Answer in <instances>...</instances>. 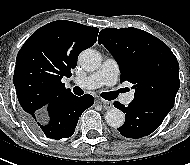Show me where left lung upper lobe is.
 I'll return each mask as SVG.
<instances>
[{"instance_id": "1", "label": "left lung upper lobe", "mask_w": 190, "mask_h": 165, "mask_svg": "<svg viewBox=\"0 0 190 165\" xmlns=\"http://www.w3.org/2000/svg\"><path fill=\"white\" fill-rule=\"evenodd\" d=\"M98 42L120 66V82L129 81L136 102L157 103L173 108L180 87L179 64L160 39L137 28H107Z\"/></svg>"}]
</instances>
